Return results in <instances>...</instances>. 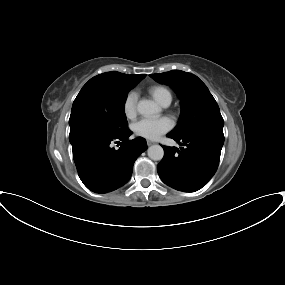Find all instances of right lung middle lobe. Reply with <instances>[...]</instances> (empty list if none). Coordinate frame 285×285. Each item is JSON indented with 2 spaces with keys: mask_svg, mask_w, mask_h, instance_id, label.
Instances as JSON below:
<instances>
[{
  "mask_svg": "<svg viewBox=\"0 0 285 285\" xmlns=\"http://www.w3.org/2000/svg\"><path fill=\"white\" fill-rule=\"evenodd\" d=\"M129 87L90 86L82 88L74 100L69 119V140L86 133L116 136L125 133L124 104Z\"/></svg>",
  "mask_w": 285,
  "mask_h": 285,
  "instance_id": "1",
  "label": "right lung middle lobe"
}]
</instances>
